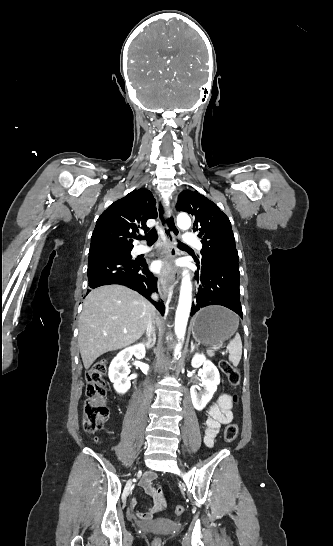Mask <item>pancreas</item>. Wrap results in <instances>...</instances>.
Here are the masks:
<instances>
[{
	"mask_svg": "<svg viewBox=\"0 0 333 546\" xmlns=\"http://www.w3.org/2000/svg\"><path fill=\"white\" fill-rule=\"evenodd\" d=\"M207 354L210 356V357H213L215 355L214 351L210 350V352H207Z\"/></svg>",
	"mask_w": 333,
	"mask_h": 546,
	"instance_id": "1",
	"label": "pancreas"
}]
</instances>
